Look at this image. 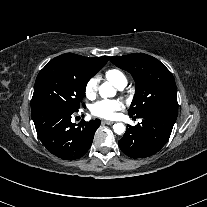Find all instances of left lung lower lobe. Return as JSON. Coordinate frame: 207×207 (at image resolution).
Masks as SVG:
<instances>
[{
  "label": "left lung lower lobe",
  "mask_w": 207,
  "mask_h": 207,
  "mask_svg": "<svg viewBox=\"0 0 207 207\" xmlns=\"http://www.w3.org/2000/svg\"><path fill=\"white\" fill-rule=\"evenodd\" d=\"M137 117L142 118V123L135 127L128 125L126 133L119 140V147L132 158L152 156L168 141L177 111L157 109Z\"/></svg>",
  "instance_id": "left-lung-lower-lobe-1"
}]
</instances>
